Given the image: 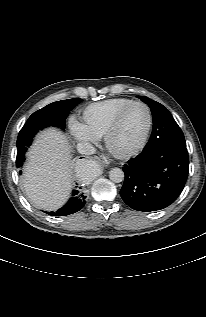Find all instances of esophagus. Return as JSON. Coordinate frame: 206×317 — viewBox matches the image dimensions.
<instances>
[{
	"mask_svg": "<svg viewBox=\"0 0 206 317\" xmlns=\"http://www.w3.org/2000/svg\"><path fill=\"white\" fill-rule=\"evenodd\" d=\"M96 159H99V162L102 165L107 164V161L104 158H96Z\"/></svg>",
	"mask_w": 206,
	"mask_h": 317,
	"instance_id": "1",
	"label": "esophagus"
}]
</instances>
